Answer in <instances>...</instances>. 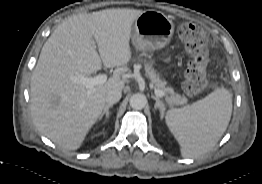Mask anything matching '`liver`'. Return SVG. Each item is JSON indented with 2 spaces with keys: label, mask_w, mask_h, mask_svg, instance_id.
I'll return each mask as SVG.
<instances>
[{
  "label": "liver",
  "mask_w": 262,
  "mask_h": 184,
  "mask_svg": "<svg viewBox=\"0 0 262 184\" xmlns=\"http://www.w3.org/2000/svg\"><path fill=\"white\" fill-rule=\"evenodd\" d=\"M142 13L106 9L73 15L60 23L43 45L30 83L31 114L38 130L56 145L67 150L80 148L105 107L107 92L124 88L123 75L129 71L132 55V24ZM102 63L116 69L91 93L73 80L95 73Z\"/></svg>",
  "instance_id": "liver-1"
}]
</instances>
